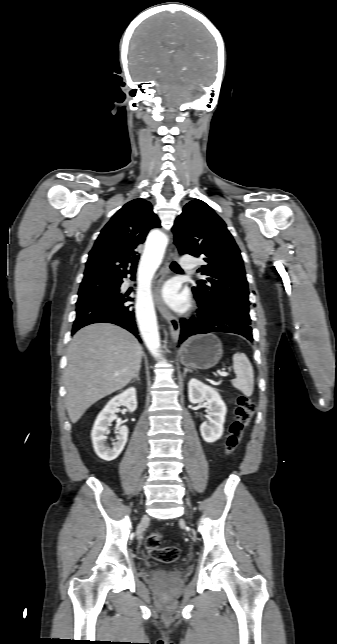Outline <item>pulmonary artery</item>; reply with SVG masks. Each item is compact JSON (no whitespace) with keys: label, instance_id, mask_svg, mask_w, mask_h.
Instances as JSON below:
<instances>
[{"label":"pulmonary artery","instance_id":"obj_1","mask_svg":"<svg viewBox=\"0 0 337 644\" xmlns=\"http://www.w3.org/2000/svg\"><path fill=\"white\" fill-rule=\"evenodd\" d=\"M181 267L185 270H192L195 267V259L190 255H185L180 259Z\"/></svg>","mask_w":337,"mask_h":644}]
</instances>
